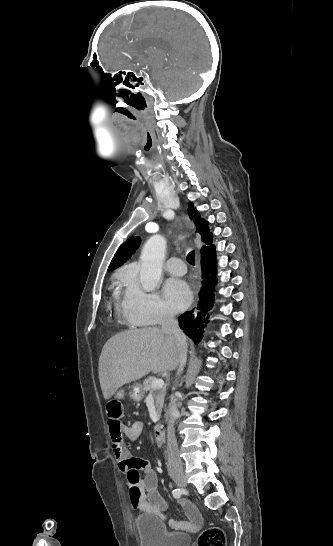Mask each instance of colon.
Here are the masks:
<instances>
[{
  "label": "colon",
  "mask_w": 333,
  "mask_h": 546,
  "mask_svg": "<svg viewBox=\"0 0 333 546\" xmlns=\"http://www.w3.org/2000/svg\"><path fill=\"white\" fill-rule=\"evenodd\" d=\"M123 399L121 396H112L106 402L107 421L119 422L122 414ZM198 546H225L226 538L224 532L217 527L204 530L197 541Z\"/></svg>",
  "instance_id": "obj_1"
}]
</instances>
